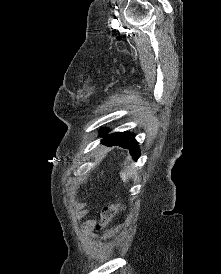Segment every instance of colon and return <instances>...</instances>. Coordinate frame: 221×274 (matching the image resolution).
I'll return each instance as SVG.
<instances>
[{
    "mask_svg": "<svg viewBox=\"0 0 221 274\" xmlns=\"http://www.w3.org/2000/svg\"><path fill=\"white\" fill-rule=\"evenodd\" d=\"M119 209V204H112L108 207H105L102 212V224L108 223L113 218V216L118 212Z\"/></svg>",
    "mask_w": 221,
    "mask_h": 274,
    "instance_id": "5ec220e1",
    "label": "colon"
}]
</instances>
